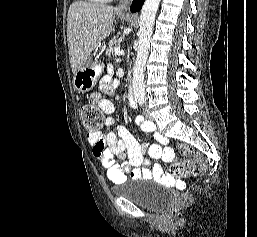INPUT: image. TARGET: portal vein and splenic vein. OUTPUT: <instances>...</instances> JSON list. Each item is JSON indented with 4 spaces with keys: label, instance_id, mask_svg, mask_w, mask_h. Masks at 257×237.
<instances>
[{
    "label": "portal vein and splenic vein",
    "instance_id": "portal-vein-and-splenic-vein-1",
    "mask_svg": "<svg viewBox=\"0 0 257 237\" xmlns=\"http://www.w3.org/2000/svg\"><path fill=\"white\" fill-rule=\"evenodd\" d=\"M115 54L117 55L124 54V51L121 49V46H118L117 48H115Z\"/></svg>",
    "mask_w": 257,
    "mask_h": 237
}]
</instances>
